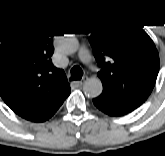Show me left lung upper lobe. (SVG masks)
<instances>
[{
  "label": "left lung upper lobe",
  "instance_id": "1",
  "mask_svg": "<svg viewBox=\"0 0 165 156\" xmlns=\"http://www.w3.org/2000/svg\"><path fill=\"white\" fill-rule=\"evenodd\" d=\"M84 32L101 67L103 91L138 108L148 98L159 72V55L146 32L120 19H93Z\"/></svg>",
  "mask_w": 165,
  "mask_h": 156
}]
</instances>
